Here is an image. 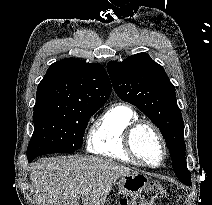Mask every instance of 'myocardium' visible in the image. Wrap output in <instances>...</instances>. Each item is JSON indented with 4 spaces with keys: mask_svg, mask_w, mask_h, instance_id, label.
Here are the masks:
<instances>
[{
    "mask_svg": "<svg viewBox=\"0 0 212 205\" xmlns=\"http://www.w3.org/2000/svg\"><path fill=\"white\" fill-rule=\"evenodd\" d=\"M142 128L150 129L154 133V135L156 136L161 145L162 159L157 164H153L146 161L140 156V154L136 150L134 139L137 132ZM125 147L130 156L133 157L139 164L153 168L161 166L165 162L168 154L167 145L161 131L154 123L147 120H137L136 122H134L129 126L125 134Z\"/></svg>",
    "mask_w": 212,
    "mask_h": 205,
    "instance_id": "obj_1",
    "label": "myocardium"
}]
</instances>
